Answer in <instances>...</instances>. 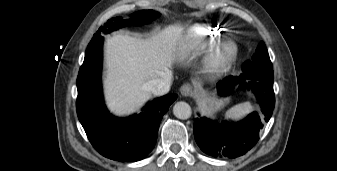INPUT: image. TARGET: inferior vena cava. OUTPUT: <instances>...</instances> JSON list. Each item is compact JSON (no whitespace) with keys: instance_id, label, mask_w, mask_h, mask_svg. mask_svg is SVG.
<instances>
[{"instance_id":"1","label":"inferior vena cava","mask_w":337,"mask_h":171,"mask_svg":"<svg viewBox=\"0 0 337 171\" xmlns=\"http://www.w3.org/2000/svg\"><path fill=\"white\" fill-rule=\"evenodd\" d=\"M172 74L168 73L164 78L151 80L146 84V87L154 95H164L169 92L171 85Z\"/></svg>"}]
</instances>
